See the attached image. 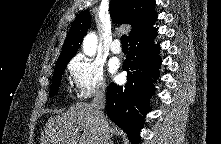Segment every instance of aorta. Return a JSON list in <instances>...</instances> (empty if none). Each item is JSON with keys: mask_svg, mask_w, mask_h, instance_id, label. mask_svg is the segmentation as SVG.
Instances as JSON below:
<instances>
[{"mask_svg": "<svg viewBox=\"0 0 221 144\" xmlns=\"http://www.w3.org/2000/svg\"><path fill=\"white\" fill-rule=\"evenodd\" d=\"M97 36L95 33H89L83 40V51L88 56H93L96 53L97 49Z\"/></svg>", "mask_w": 221, "mask_h": 144, "instance_id": "1", "label": "aorta"}]
</instances>
